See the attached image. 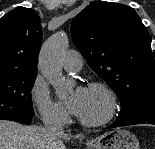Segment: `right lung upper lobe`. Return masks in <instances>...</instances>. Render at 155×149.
<instances>
[{
  "label": "right lung upper lobe",
  "mask_w": 155,
  "mask_h": 149,
  "mask_svg": "<svg viewBox=\"0 0 155 149\" xmlns=\"http://www.w3.org/2000/svg\"><path fill=\"white\" fill-rule=\"evenodd\" d=\"M42 31L35 10L17 7L0 19V72L37 71Z\"/></svg>",
  "instance_id": "obj_1"
}]
</instances>
